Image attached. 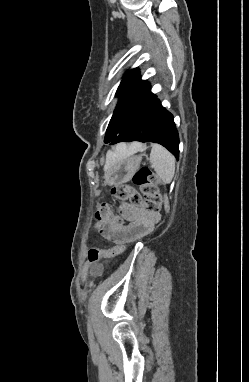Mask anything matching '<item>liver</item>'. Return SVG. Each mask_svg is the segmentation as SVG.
Here are the masks:
<instances>
[{"instance_id":"liver-1","label":"liver","mask_w":249,"mask_h":382,"mask_svg":"<svg viewBox=\"0 0 249 382\" xmlns=\"http://www.w3.org/2000/svg\"><path fill=\"white\" fill-rule=\"evenodd\" d=\"M143 149V146L139 143H133L129 148L125 144L118 145L114 153L110 152L106 158L105 169H107L115 157H127L133 153Z\"/></svg>"}]
</instances>
